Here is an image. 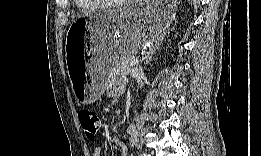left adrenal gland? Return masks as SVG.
<instances>
[{"instance_id": "obj_1", "label": "left adrenal gland", "mask_w": 261, "mask_h": 156, "mask_svg": "<svg viewBox=\"0 0 261 156\" xmlns=\"http://www.w3.org/2000/svg\"><path fill=\"white\" fill-rule=\"evenodd\" d=\"M164 37H165V34L160 36V37H158V39L154 42V45L148 49V51L146 52V54L142 58V61H144V64L147 65V64L150 63L153 54L159 48V46H160L161 42L163 41Z\"/></svg>"}]
</instances>
